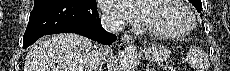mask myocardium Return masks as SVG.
<instances>
[{
    "mask_svg": "<svg viewBox=\"0 0 230 71\" xmlns=\"http://www.w3.org/2000/svg\"><path fill=\"white\" fill-rule=\"evenodd\" d=\"M176 2L179 6L182 7V9L185 11L187 17H188V25L185 29L179 32H161L156 31L152 28H150L148 25L144 24L142 26V29L150 36L158 39L163 40H176L181 39L189 35L196 27V17L190 6L185 2L181 0H173Z\"/></svg>",
    "mask_w": 230,
    "mask_h": 71,
    "instance_id": "f54148a6",
    "label": "myocardium"
}]
</instances>
